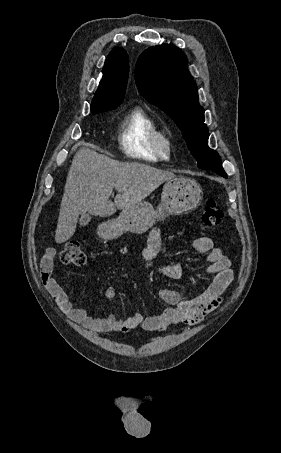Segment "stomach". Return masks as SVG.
Here are the masks:
<instances>
[{"label": "stomach", "instance_id": "0dacf381", "mask_svg": "<svg viewBox=\"0 0 281 453\" xmlns=\"http://www.w3.org/2000/svg\"><path fill=\"white\" fill-rule=\"evenodd\" d=\"M202 200V188L197 180L187 176H176L166 180L161 202L154 208L147 200L136 202L131 208H123L118 218L102 222L98 229L101 239H116L122 233L142 235L149 231L156 220H164L169 214H184L195 210Z\"/></svg>", "mask_w": 281, "mask_h": 453}]
</instances>
